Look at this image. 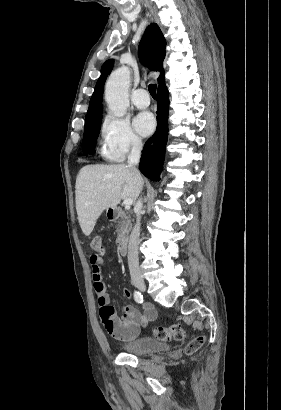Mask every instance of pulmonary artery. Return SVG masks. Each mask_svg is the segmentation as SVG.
<instances>
[{"label": "pulmonary artery", "mask_w": 281, "mask_h": 410, "mask_svg": "<svg viewBox=\"0 0 281 410\" xmlns=\"http://www.w3.org/2000/svg\"><path fill=\"white\" fill-rule=\"evenodd\" d=\"M132 102L140 109L146 108L150 104L149 94L145 89H137L132 94Z\"/></svg>", "instance_id": "obj_1"}]
</instances>
